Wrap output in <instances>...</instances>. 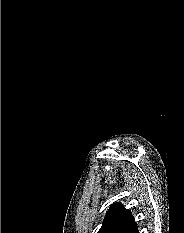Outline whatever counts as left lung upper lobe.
Returning a JSON list of instances; mask_svg holds the SVG:
<instances>
[{"instance_id": "obj_1", "label": "left lung upper lobe", "mask_w": 184, "mask_h": 233, "mask_svg": "<svg viewBox=\"0 0 184 233\" xmlns=\"http://www.w3.org/2000/svg\"><path fill=\"white\" fill-rule=\"evenodd\" d=\"M98 233H138V228L130 210L114 203L107 211Z\"/></svg>"}]
</instances>
